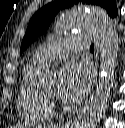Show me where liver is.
Segmentation results:
<instances>
[{
	"label": "liver",
	"mask_w": 125,
	"mask_h": 128,
	"mask_svg": "<svg viewBox=\"0 0 125 128\" xmlns=\"http://www.w3.org/2000/svg\"><path fill=\"white\" fill-rule=\"evenodd\" d=\"M52 128H53V126H51ZM11 128H28V126H24V125H14V126H12ZM49 128H50V126H49Z\"/></svg>",
	"instance_id": "liver-1"
}]
</instances>
